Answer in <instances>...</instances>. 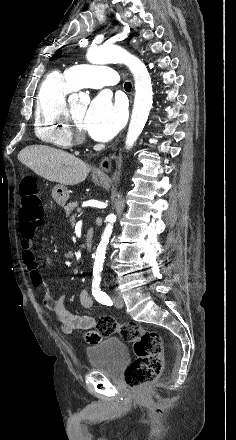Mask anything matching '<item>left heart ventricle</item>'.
I'll return each mask as SVG.
<instances>
[{"label": "left heart ventricle", "instance_id": "obj_1", "mask_svg": "<svg viewBox=\"0 0 236 440\" xmlns=\"http://www.w3.org/2000/svg\"><path fill=\"white\" fill-rule=\"evenodd\" d=\"M71 110L76 122L84 130V116L87 106L84 104H75L71 106Z\"/></svg>", "mask_w": 236, "mask_h": 440}]
</instances>
